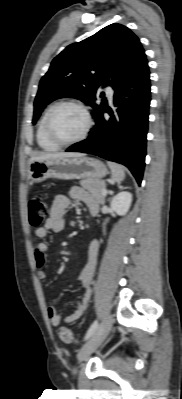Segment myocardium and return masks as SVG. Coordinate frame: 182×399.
<instances>
[{
    "label": "myocardium",
    "mask_w": 182,
    "mask_h": 399,
    "mask_svg": "<svg viewBox=\"0 0 182 399\" xmlns=\"http://www.w3.org/2000/svg\"><path fill=\"white\" fill-rule=\"evenodd\" d=\"M64 106H73V107L80 109L85 117V120H86V125H85L83 132L78 137H76L72 140L59 139L54 134L53 129H52V119H53L55 112L59 108L64 107ZM92 126H93V119H92V116H91V113H90L88 107L85 104H83L82 102L76 101V100H65V101H60V102L54 104L50 108V110L47 114L46 123H45L47 137L53 143L57 144L58 146H69V145H73V144L83 141L84 139H86V137L90 133Z\"/></svg>",
    "instance_id": "myocardium-1"
}]
</instances>
